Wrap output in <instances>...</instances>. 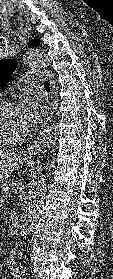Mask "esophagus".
Instances as JSON below:
<instances>
[{
    "label": "esophagus",
    "mask_w": 113,
    "mask_h": 279,
    "mask_svg": "<svg viewBox=\"0 0 113 279\" xmlns=\"http://www.w3.org/2000/svg\"><path fill=\"white\" fill-rule=\"evenodd\" d=\"M50 84V91H51V105H50V111L47 115V117L44 119L42 126H45L48 122L51 121L53 114H54V107H55V82L53 78L50 75H46ZM41 149V141L40 137L37 136V138L34 140L33 144L26 149L23 154L27 156H32L33 154H36Z\"/></svg>",
    "instance_id": "obj_1"
}]
</instances>
